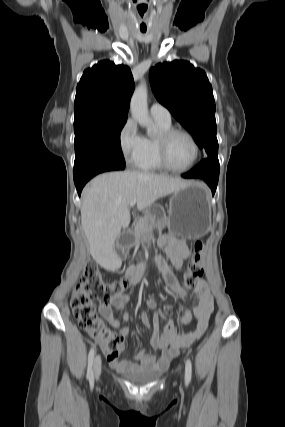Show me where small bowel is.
Segmentation results:
<instances>
[{
    "label": "small bowel",
    "mask_w": 285,
    "mask_h": 427,
    "mask_svg": "<svg viewBox=\"0 0 285 427\" xmlns=\"http://www.w3.org/2000/svg\"><path fill=\"white\" fill-rule=\"evenodd\" d=\"M158 244L165 249L170 262L175 268L182 269L184 267V261L190 255V250L184 240L174 235H162L159 238ZM155 259L159 264L160 271L167 285L174 293L182 298H186V290L179 284L166 262L160 257H156ZM144 269V262H139L129 267L127 278L130 285H136L140 282ZM193 296L197 303L196 306L192 311H184L179 318L181 324L187 325L194 317L196 319V324L193 330L179 333L176 330L175 322L171 319L167 321L163 330H161L159 320L164 318L165 315L157 309L154 300H147V308L154 310L150 344L159 354L156 355L147 353L145 350H140L131 360H118V357H116L114 359H109L110 364L118 369L126 371L144 372L165 370L181 348L191 346L208 328L214 305L208 284L204 280H200L195 286ZM129 300V295L119 293L114 294L108 304L101 303L99 305V312L101 315L112 327L119 330V334L122 338H126L130 335L129 327L123 325V322L128 320V314L124 312V308ZM110 305H113L118 311L122 312L121 319H116L113 316ZM140 317L144 326L149 327L150 323L145 310L141 311ZM123 349V346H121L120 350Z\"/></svg>",
    "instance_id": "obj_1"
}]
</instances>
